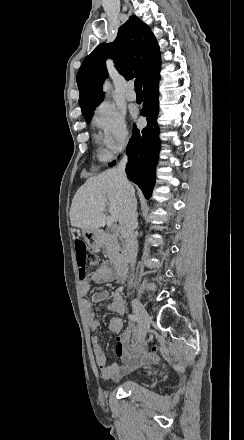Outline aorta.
<instances>
[{
  "label": "aorta",
  "instance_id": "obj_1",
  "mask_svg": "<svg viewBox=\"0 0 244 440\" xmlns=\"http://www.w3.org/2000/svg\"><path fill=\"white\" fill-rule=\"evenodd\" d=\"M109 89H110V85L109 83H106V85L103 87V90L106 92V94H108Z\"/></svg>",
  "mask_w": 244,
  "mask_h": 440
}]
</instances>
